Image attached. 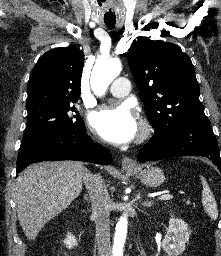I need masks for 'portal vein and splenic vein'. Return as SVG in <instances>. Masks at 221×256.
Instances as JSON below:
<instances>
[{"mask_svg":"<svg viewBox=\"0 0 221 256\" xmlns=\"http://www.w3.org/2000/svg\"><path fill=\"white\" fill-rule=\"evenodd\" d=\"M173 198V195L171 194H163L158 197L159 200H171Z\"/></svg>","mask_w":221,"mask_h":256,"instance_id":"1","label":"portal vein and splenic vein"}]
</instances>
